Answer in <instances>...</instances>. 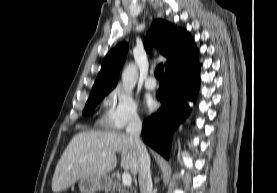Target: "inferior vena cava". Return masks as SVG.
I'll use <instances>...</instances> for the list:
<instances>
[{"label": "inferior vena cava", "instance_id": "obj_1", "mask_svg": "<svg viewBox=\"0 0 277 193\" xmlns=\"http://www.w3.org/2000/svg\"><path fill=\"white\" fill-rule=\"evenodd\" d=\"M141 130L142 122L140 118L137 115L131 116L128 121L126 133L135 143L139 154L140 168L138 172V182L140 193H152L153 184L150 173V157L145 145L140 139Z\"/></svg>", "mask_w": 277, "mask_h": 193}]
</instances>
